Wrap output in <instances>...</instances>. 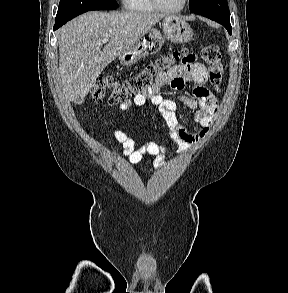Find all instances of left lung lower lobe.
Wrapping results in <instances>:
<instances>
[{"mask_svg":"<svg viewBox=\"0 0 288 293\" xmlns=\"http://www.w3.org/2000/svg\"><path fill=\"white\" fill-rule=\"evenodd\" d=\"M223 26L227 29V31H228L229 34L232 33V28H231V25L230 24H224Z\"/></svg>","mask_w":288,"mask_h":293,"instance_id":"1","label":"left lung lower lobe"}]
</instances>
